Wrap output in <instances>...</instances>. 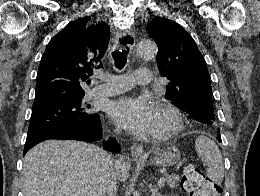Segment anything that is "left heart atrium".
Returning a JSON list of instances; mask_svg holds the SVG:
<instances>
[{"label": "left heart atrium", "mask_w": 260, "mask_h": 196, "mask_svg": "<svg viewBox=\"0 0 260 196\" xmlns=\"http://www.w3.org/2000/svg\"><path fill=\"white\" fill-rule=\"evenodd\" d=\"M110 113L119 127L134 135H145L152 129L155 105L144 96H123L112 103Z\"/></svg>", "instance_id": "obj_1"}]
</instances>
